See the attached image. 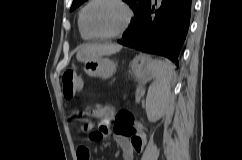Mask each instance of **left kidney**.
I'll use <instances>...</instances> for the list:
<instances>
[{
    "label": "left kidney",
    "instance_id": "left-kidney-1",
    "mask_svg": "<svg viewBox=\"0 0 242 160\" xmlns=\"http://www.w3.org/2000/svg\"><path fill=\"white\" fill-rule=\"evenodd\" d=\"M166 112V107L157 108L151 103H146V113L151 123L158 121Z\"/></svg>",
    "mask_w": 242,
    "mask_h": 160
}]
</instances>
